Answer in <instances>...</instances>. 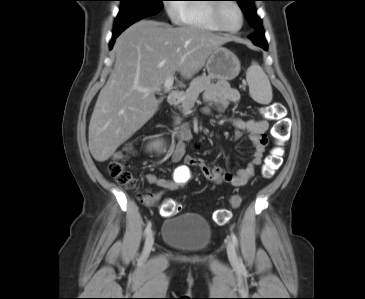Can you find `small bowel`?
<instances>
[{
    "instance_id": "1",
    "label": "small bowel",
    "mask_w": 365,
    "mask_h": 299,
    "mask_svg": "<svg viewBox=\"0 0 365 299\" xmlns=\"http://www.w3.org/2000/svg\"><path fill=\"white\" fill-rule=\"evenodd\" d=\"M239 99L240 94L238 90L231 88L225 82L214 84L205 94L206 102L217 110H224L230 103H235ZM209 111L210 109L207 108L206 112ZM233 125L235 127L234 138L238 139L243 133H247L255 148L253 157L245 168L233 173L226 171L219 165L207 163L201 158L186 156L185 150L187 143L191 139V131L188 125L184 124L177 130L178 140L171 154V161L173 163L183 161V165L177 168L172 178L149 174L147 176L148 182L159 186L164 191H174L182 184L183 177L189 174L191 167H197L202 175L212 183L224 182L233 187H242L247 184L254 177L256 167L262 163L268 142L266 132L269 128V123L265 119L237 118L233 121ZM162 194L163 192L154 193L151 197L150 206H154L156 201L162 197Z\"/></svg>"
}]
</instances>
